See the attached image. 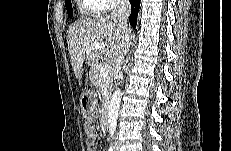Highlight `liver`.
<instances>
[{"label": "liver", "instance_id": "1", "mask_svg": "<svg viewBox=\"0 0 231 151\" xmlns=\"http://www.w3.org/2000/svg\"><path fill=\"white\" fill-rule=\"evenodd\" d=\"M68 51L73 71L82 86L89 67V74L95 73L102 55L119 65L121 56L131 44V31L126 32L112 15H98L77 21L67 34ZM94 43H101L99 49H89Z\"/></svg>", "mask_w": 231, "mask_h": 151}]
</instances>
